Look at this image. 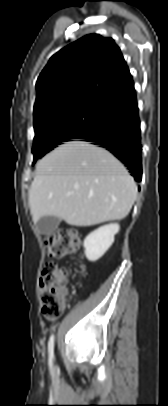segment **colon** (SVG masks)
Returning <instances> with one entry per match:
<instances>
[{"instance_id":"1","label":"colon","mask_w":168,"mask_h":406,"mask_svg":"<svg viewBox=\"0 0 168 406\" xmlns=\"http://www.w3.org/2000/svg\"><path fill=\"white\" fill-rule=\"evenodd\" d=\"M45 244L50 258L61 259L78 249L79 238L75 231L60 228L46 237ZM68 278L69 271L56 262L44 264L38 279V293L41 312L46 319L56 320L62 315Z\"/></svg>"}]
</instances>
